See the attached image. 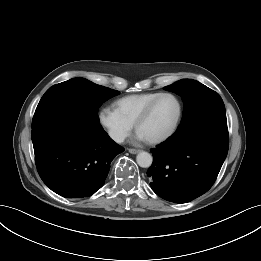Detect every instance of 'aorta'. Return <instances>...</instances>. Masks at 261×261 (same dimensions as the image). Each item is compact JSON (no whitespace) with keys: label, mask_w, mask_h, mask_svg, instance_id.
Listing matches in <instances>:
<instances>
[{"label":"aorta","mask_w":261,"mask_h":261,"mask_svg":"<svg viewBox=\"0 0 261 261\" xmlns=\"http://www.w3.org/2000/svg\"><path fill=\"white\" fill-rule=\"evenodd\" d=\"M137 164L142 168H148L152 165L153 158L148 152L142 151L136 156Z\"/></svg>","instance_id":"obj_1"}]
</instances>
